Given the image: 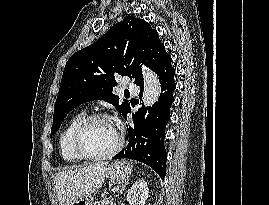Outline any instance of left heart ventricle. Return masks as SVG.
Wrapping results in <instances>:
<instances>
[{
    "instance_id": "1",
    "label": "left heart ventricle",
    "mask_w": 269,
    "mask_h": 205,
    "mask_svg": "<svg viewBox=\"0 0 269 205\" xmlns=\"http://www.w3.org/2000/svg\"><path fill=\"white\" fill-rule=\"evenodd\" d=\"M83 147L90 154L109 152L117 143V129L108 120L92 123L83 135Z\"/></svg>"
}]
</instances>
